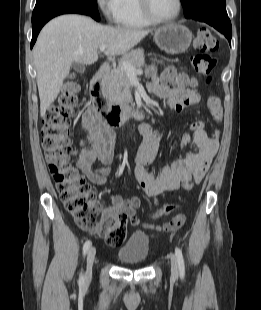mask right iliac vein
<instances>
[{
  "label": "right iliac vein",
  "instance_id": "1",
  "mask_svg": "<svg viewBox=\"0 0 261 310\" xmlns=\"http://www.w3.org/2000/svg\"><path fill=\"white\" fill-rule=\"evenodd\" d=\"M96 255V248L93 246L89 249L87 253V264H86V272H85V282H88L92 276V266L94 263Z\"/></svg>",
  "mask_w": 261,
  "mask_h": 310
}]
</instances>
